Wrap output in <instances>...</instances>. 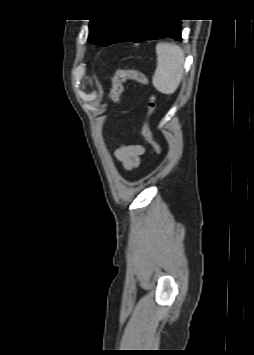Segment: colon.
Returning <instances> with one entry per match:
<instances>
[{"label":"colon","instance_id":"1","mask_svg":"<svg viewBox=\"0 0 254 355\" xmlns=\"http://www.w3.org/2000/svg\"><path fill=\"white\" fill-rule=\"evenodd\" d=\"M128 80L136 81L140 84L147 85L148 78L145 74L134 69L117 70L112 79V85L109 91V98L113 102H118L124 88V83ZM156 107L155 96L151 94L147 101L146 120L142 128V136L145 141L151 145L155 153L161 152L160 144L154 139L151 129V119Z\"/></svg>","mask_w":254,"mask_h":355}]
</instances>
